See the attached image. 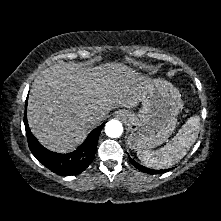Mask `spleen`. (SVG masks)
<instances>
[{"label":"spleen","mask_w":221,"mask_h":221,"mask_svg":"<svg viewBox=\"0 0 221 221\" xmlns=\"http://www.w3.org/2000/svg\"><path fill=\"white\" fill-rule=\"evenodd\" d=\"M199 128V116H192L167 145L156 151L140 150L137 152V156L149 168H169L187 154L198 137Z\"/></svg>","instance_id":"1"}]
</instances>
